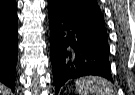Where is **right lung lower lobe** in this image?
Instances as JSON below:
<instances>
[{
	"mask_svg": "<svg viewBox=\"0 0 135 95\" xmlns=\"http://www.w3.org/2000/svg\"><path fill=\"white\" fill-rule=\"evenodd\" d=\"M18 31L17 14L0 18V82L12 91L15 87Z\"/></svg>",
	"mask_w": 135,
	"mask_h": 95,
	"instance_id": "right-lung-lower-lobe-1",
	"label": "right lung lower lobe"
}]
</instances>
